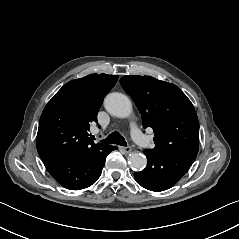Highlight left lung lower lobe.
I'll list each match as a JSON object with an SVG mask.
<instances>
[{
  "label": "left lung lower lobe",
  "instance_id": "left-lung-lower-lobe-1",
  "mask_svg": "<svg viewBox=\"0 0 239 239\" xmlns=\"http://www.w3.org/2000/svg\"><path fill=\"white\" fill-rule=\"evenodd\" d=\"M147 167L135 172L134 178L142 187L151 191H164L175 185L189 170L197 153L175 151L155 152L144 150Z\"/></svg>",
  "mask_w": 239,
  "mask_h": 239
}]
</instances>
